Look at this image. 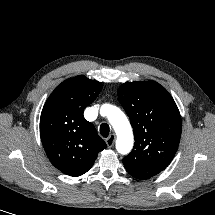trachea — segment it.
Instances as JSON below:
<instances>
[{
    "mask_svg": "<svg viewBox=\"0 0 215 215\" xmlns=\"http://www.w3.org/2000/svg\"><path fill=\"white\" fill-rule=\"evenodd\" d=\"M109 132H110V127L108 124L106 123H103L101 124L100 126V134L103 136V137H108L109 135Z\"/></svg>",
    "mask_w": 215,
    "mask_h": 215,
    "instance_id": "trachea-1",
    "label": "trachea"
}]
</instances>
